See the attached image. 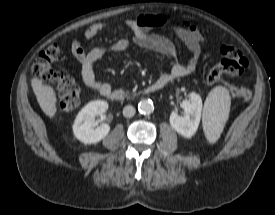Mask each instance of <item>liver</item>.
<instances>
[{"mask_svg":"<svg viewBox=\"0 0 275 215\" xmlns=\"http://www.w3.org/2000/svg\"><path fill=\"white\" fill-rule=\"evenodd\" d=\"M31 86L42 111L53 119L57 112V98L54 88L44 84L37 77L31 78Z\"/></svg>","mask_w":275,"mask_h":215,"instance_id":"6515ba94","label":"liver"}]
</instances>
